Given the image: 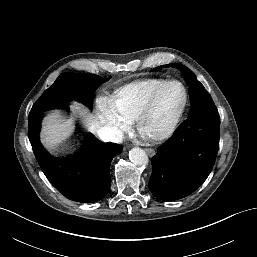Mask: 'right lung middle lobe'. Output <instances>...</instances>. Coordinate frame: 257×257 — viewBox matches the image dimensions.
<instances>
[{
	"mask_svg": "<svg viewBox=\"0 0 257 257\" xmlns=\"http://www.w3.org/2000/svg\"><path fill=\"white\" fill-rule=\"evenodd\" d=\"M103 82L105 79L95 74L67 73L59 76L33 105L29 126L37 125L43 112L64 109L74 99L92 107L93 91Z\"/></svg>",
	"mask_w": 257,
	"mask_h": 257,
	"instance_id": "dd1d6c3e",
	"label": "right lung middle lobe"
}]
</instances>
